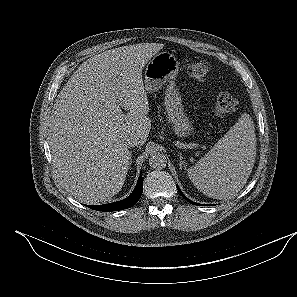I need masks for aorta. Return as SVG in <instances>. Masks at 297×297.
Listing matches in <instances>:
<instances>
[{
  "mask_svg": "<svg viewBox=\"0 0 297 297\" xmlns=\"http://www.w3.org/2000/svg\"><path fill=\"white\" fill-rule=\"evenodd\" d=\"M166 156L160 152H154L150 155L149 165L153 169H163L166 167Z\"/></svg>",
  "mask_w": 297,
  "mask_h": 297,
  "instance_id": "aorta-1",
  "label": "aorta"
}]
</instances>
